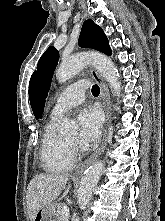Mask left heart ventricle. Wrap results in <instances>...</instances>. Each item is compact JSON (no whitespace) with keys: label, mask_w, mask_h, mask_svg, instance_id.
I'll return each mask as SVG.
<instances>
[{"label":"left heart ventricle","mask_w":165,"mask_h":221,"mask_svg":"<svg viewBox=\"0 0 165 221\" xmlns=\"http://www.w3.org/2000/svg\"><path fill=\"white\" fill-rule=\"evenodd\" d=\"M67 140L73 143H77L78 137L76 134H74V135L68 136Z\"/></svg>","instance_id":"obj_1"}]
</instances>
